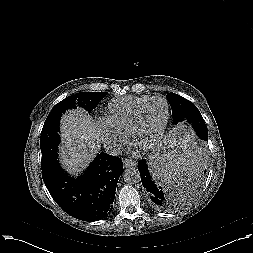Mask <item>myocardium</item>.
<instances>
[{"label":"myocardium","mask_w":253,"mask_h":253,"mask_svg":"<svg viewBox=\"0 0 253 253\" xmlns=\"http://www.w3.org/2000/svg\"><path fill=\"white\" fill-rule=\"evenodd\" d=\"M156 99H160V100H163L166 104V118H165V121L161 127V129L159 130V132L157 133V135L147 144L145 145H142V148L144 149H151L153 147H155L159 142L160 140L162 139L166 129H167V126H168V123H169V119H170V111H171V107H170V103L169 101L163 97V96H152V97H149L146 101H144L135 111L134 113V116L130 122V125H129V128L127 130V137L128 139L134 143V133L137 129V126H138V123L140 121V118H141V114L144 110V108L153 100H156Z\"/></svg>","instance_id":"myocardium-1"}]
</instances>
